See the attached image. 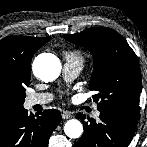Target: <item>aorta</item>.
I'll list each match as a JSON object with an SVG mask.
<instances>
[{
	"label": "aorta",
	"instance_id": "762f6f07",
	"mask_svg": "<svg viewBox=\"0 0 147 147\" xmlns=\"http://www.w3.org/2000/svg\"><path fill=\"white\" fill-rule=\"evenodd\" d=\"M34 75L43 81H53L60 75V60L53 54L38 55L32 65ZM65 134L72 139L79 138L83 133V125L77 119L68 120L64 126Z\"/></svg>",
	"mask_w": 147,
	"mask_h": 147
}]
</instances>
